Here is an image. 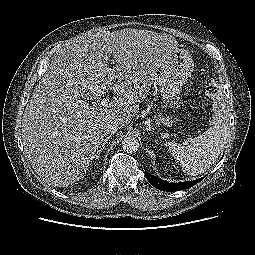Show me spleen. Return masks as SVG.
<instances>
[{"label": "spleen", "instance_id": "3e777b00", "mask_svg": "<svg viewBox=\"0 0 255 255\" xmlns=\"http://www.w3.org/2000/svg\"><path fill=\"white\" fill-rule=\"evenodd\" d=\"M220 117L221 114L216 115L214 125L190 139L187 146L166 142L169 151L187 174L194 176L202 174L218 159L229 135V127Z\"/></svg>", "mask_w": 255, "mask_h": 255}]
</instances>
